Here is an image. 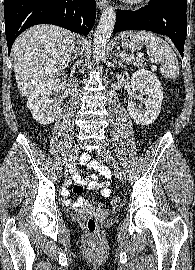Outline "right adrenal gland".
Segmentation results:
<instances>
[{"label": "right adrenal gland", "instance_id": "2a0ac1e0", "mask_svg": "<svg viewBox=\"0 0 195 270\" xmlns=\"http://www.w3.org/2000/svg\"><path fill=\"white\" fill-rule=\"evenodd\" d=\"M78 55H80V48L78 46H76V48L73 52V57L71 58L70 61H72L73 59H76L78 57Z\"/></svg>", "mask_w": 195, "mask_h": 270}]
</instances>
